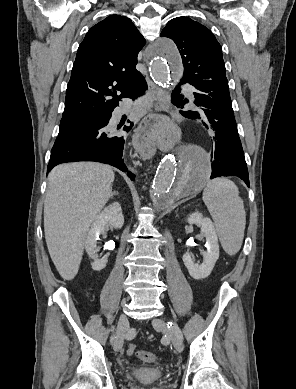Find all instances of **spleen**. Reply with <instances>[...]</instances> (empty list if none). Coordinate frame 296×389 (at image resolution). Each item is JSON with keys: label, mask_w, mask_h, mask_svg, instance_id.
I'll list each match as a JSON object with an SVG mask.
<instances>
[{"label": "spleen", "mask_w": 296, "mask_h": 389, "mask_svg": "<svg viewBox=\"0 0 296 389\" xmlns=\"http://www.w3.org/2000/svg\"><path fill=\"white\" fill-rule=\"evenodd\" d=\"M202 198L223 249L235 255L241 248L246 225L244 204L237 186L226 178L213 179L204 188Z\"/></svg>", "instance_id": "spleen-1"}]
</instances>
